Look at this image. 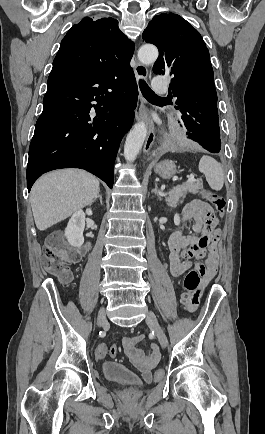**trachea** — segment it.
Listing matches in <instances>:
<instances>
[{"instance_id":"obj_1","label":"trachea","mask_w":265,"mask_h":434,"mask_svg":"<svg viewBox=\"0 0 265 434\" xmlns=\"http://www.w3.org/2000/svg\"><path fill=\"white\" fill-rule=\"evenodd\" d=\"M139 86H140V90L142 92L143 95L145 96H151L153 98H157L160 100H167V98L165 97H158V95H156L153 90H151V88L146 84L145 81L140 80L139 81Z\"/></svg>"}]
</instances>
